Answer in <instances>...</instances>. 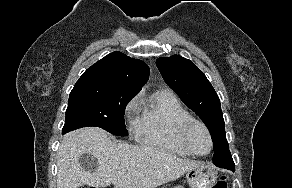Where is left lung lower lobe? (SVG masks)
<instances>
[{"label":"left lung lower lobe","instance_id":"1","mask_svg":"<svg viewBox=\"0 0 292 188\" xmlns=\"http://www.w3.org/2000/svg\"><path fill=\"white\" fill-rule=\"evenodd\" d=\"M216 166H219V167H226L228 168V166H234V162H233V159L232 158H228L226 160V162H222V163H216L215 164Z\"/></svg>","mask_w":292,"mask_h":188}]
</instances>
